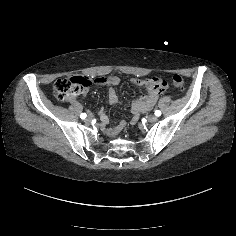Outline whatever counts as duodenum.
<instances>
[{
  "label": "duodenum",
  "instance_id": "410a0bca",
  "mask_svg": "<svg viewBox=\"0 0 236 236\" xmlns=\"http://www.w3.org/2000/svg\"><path fill=\"white\" fill-rule=\"evenodd\" d=\"M156 85H155V83H151V84H149V87H150V94L148 95V97H146V98H143V99H141L140 101H138V102H136V108L137 109H140V108H142L145 104H146V102L149 100V99H151V98H153V97H155V87ZM122 125H120V127H121Z\"/></svg>",
  "mask_w": 236,
  "mask_h": 236
}]
</instances>
